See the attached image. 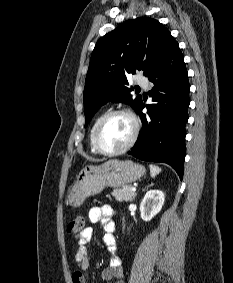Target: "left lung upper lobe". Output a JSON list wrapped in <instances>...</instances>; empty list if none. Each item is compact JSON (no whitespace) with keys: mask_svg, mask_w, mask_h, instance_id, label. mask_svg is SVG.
<instances>
[{"mask_svg":"<svg viewBox=\"0 0 233 283\" xmlns=\"http://www.w3.org/2000/svg\"><path fill=\"white\" fill-rule=\"evenodd\" d=\"M176 44L163 24L142 17L126 21L101 37L92 52L85 80L86 124L111 100L130 104L137 111L142 98H132L126 75L141 70L148 76Z\"/></svg>","mask_w":233,"mask_h":283,"instance_id":"1","label":"left lung upper lobe"}]
</instances>
